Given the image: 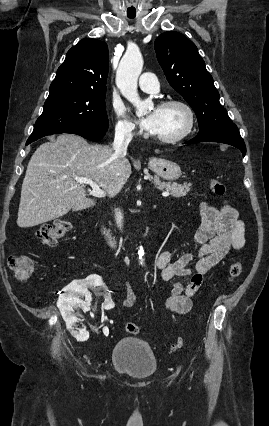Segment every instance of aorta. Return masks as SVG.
<instances>
[{
    "label": "aorta",
    "instance_id": "762f6f07",
    "mask_svg": "<svg viewBox=\"0 0 269 426\" xmlns=\"http://www.w3.org/2000/svg\"><path fill=\"white\" fill-rule=\"evenodd\" d=\"M143 68V58L138 49L128 50L120 61L116 73V84L124 97L136 108V115L142 116L152 106L150 100L142 101L137 92L138 77ZM139 259L142 261L143 248L138 250Z\"/></svg>",
    "mask_w": 269,
    "mask_h": 426
}]
</instances>
